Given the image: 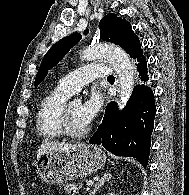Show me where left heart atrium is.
I'll return each mask as SVG.
<instances>
[{
	"instance_id": "left-heart-atrium-1",
	"label": "left heart atrium",
	"mask_w": 189,
	"mask_h": 195,
	"mask_svg": "<svg viewBox=\"0 0 189 195\" xmlns=\"http://www.w3.org/2000/svg\"><path fill=\"white\" fill-rule=\"evenodd\" d=\"M103 99L100 93L92 92L89 98L81 105V115L89 125L102 108Z\"/></svg>"
}]
</instances>
